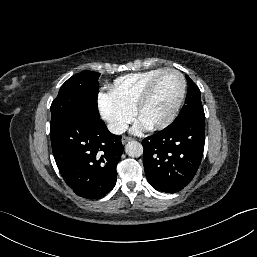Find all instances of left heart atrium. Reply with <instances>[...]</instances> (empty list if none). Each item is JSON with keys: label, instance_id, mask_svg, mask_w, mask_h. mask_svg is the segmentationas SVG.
<instances>
[{"label": "left heart atrium", "instance_id": "39dd6f15", "mask_svg": "<svg viewBox=\"0 0 257 257\" xmlns=\"http://www.w3.org/2000/svg\"><path fill=\"white\" fill-rule=\"evenodd\" d=\"M146 127H147V126H146V124H145L144 122H142L141 120H138V121L134 124V126H133V128H132V131H133L134 133H139V132H141L142 130H144Z\"/></svg>", "mask_w": 257, "mask_h": 257}]
</instances>
